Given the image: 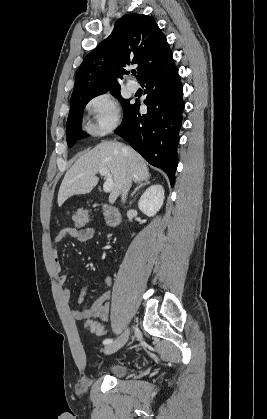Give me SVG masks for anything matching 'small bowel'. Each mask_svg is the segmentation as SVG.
Instances as JSON below:
<instances>
[{
    "mask_svg": "<svg viewBox=\"0 0 267 419\" xmlns=\"http://www.w3.org/2000/svg\"><path fill=\"white\" fill-rule=\"evenodd\" d=\"M97 234L96 229L94 228H66L62 229L56 235L54 241L58 243L62 239L66 237H70L74 240L84 242L91 238H93ZM54 271L57 274L58 281L61 285L66 284L68 281V275L62 273L61 265L55 251L54 253V263H53ZM112 278L110 276H106L103 279V284L106 287L112 286ZM90 286H85L82 288L78 303H82L84 298L87 296L88 290ZM63 297L69 301L71 298V291L67 288L63 289L62 291ZM111 298V292L109 290L104 291L99 298H97L90 306L85 309L73 308L71 310V314L74 319L76 320H86L90 318H96L101 321H107L110 315V308H109V300Z\"/></svg>",
    "mask_w": 267,
    "mask_h": 419,
    "instance_id": "1",
    "label": "small bowel"
}]
</instances>
